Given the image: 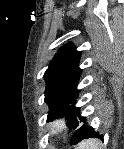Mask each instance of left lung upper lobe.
I'll return each instance as SVG.
<instances>
[{
    "mask_svg": "<svg viewBox=\"0 0 124 149\" xmlns=\"http://www.w3.org/2000/svg\"><path fill=\"white\" fill-rule=\"evenodd\" d=\"M80 52L73 45L62 48L52 59L44 74L46 80L45 102H48L49 112L47 120L50 121L63 113L79 114L76 107L79 90L77 84L82 69L79 68ZM85 122L84 117H80ZM71 128L76 129L79 123L73 117Z\"/></svg>",
    "mask_w": 124,
    "mask_h": 149,
    "instance_id": "5c2ea615",
    "label": "left lung upper lobe"
}]
</instances>
